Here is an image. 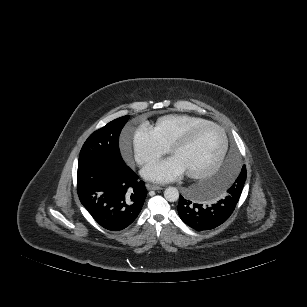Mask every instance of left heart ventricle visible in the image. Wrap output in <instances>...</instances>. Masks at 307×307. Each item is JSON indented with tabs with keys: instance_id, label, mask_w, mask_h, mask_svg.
<instances>
[{
	"instance_id": "obj_1",
	"label": "left heart ventricle",
	"mask_w": 307,
	"mask_h": 307,
	"mask_svg": "<svg viewBox=\"0 0 307 307\" xmlns=\"http://www.w3.org/2000/svg\"><path fill=\"white\" fill-rule=\"evenodd\" d=\"M222 149L220 132L207 127L195 136L186 146L177 149L172 157L175 158L187 172H199L213 166Z\"/></svg>"
}]
</instances>
